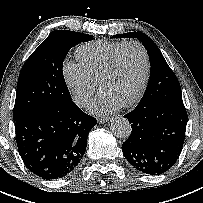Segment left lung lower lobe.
Wrapping results in <instances>:
<instances>
[{"mask_svg":"<svg viewBox=\"0 0 203 203\" xmlns=\"http://www.w3.org/2000/svg\"><path fill=\"white\" fill-rule=\"evenodd\" d=\"M124 117L132 127L122 144L128 162L138 171L160 175L169 170L182 151L187 125L183 103L136 107Z\"/></svg>","mask_w":203,"mask_h":203,"instance_id":"0a47b994","label":"left lung lower lobe"}]
</instances>
